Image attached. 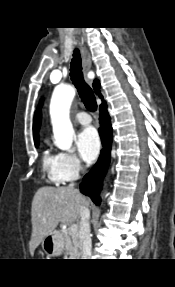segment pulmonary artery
Masks as SVG:
<instances>
[{"instance_id": "pulmonary-artery-1", "label": "pulmonary artery", "mask_w": 175, "mask_h": 287, "mask_svg": "<svg viewBox=\"0 0 175 287\" xmlns=\"http://www.w3.org/2000/svg\"><path fill=\"white\" fill-rule=\"evenodd\" d=\"M75 119L78 123L82 125H88L91 123L92 119L89 114L85 112H79L76 114Z\"/></svg>"}]
</instances>
